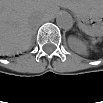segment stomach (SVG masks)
Listing matches in <instances>:
<instances>
[{"label": "stomach", "mask_w": 103, "mask_h": 103, "mask_svg": "<svg viewBox=\"0 0 103 103\" xmlns=\"http://www.w3.org/2000/svg\"><path fill=\"white\" fill-rule=\"evenodd\" d=\"M71 10L75 15L81 30L91 34L100 33L103 13L101 1H73Z\"/></svg>", "instance_id": "1"}]
</instances>
